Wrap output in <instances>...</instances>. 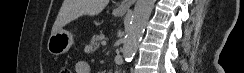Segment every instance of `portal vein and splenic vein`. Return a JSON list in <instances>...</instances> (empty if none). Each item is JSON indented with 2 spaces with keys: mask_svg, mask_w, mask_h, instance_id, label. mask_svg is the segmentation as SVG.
Here are the masks:
<instances>
[{
  "mask_svg": "<svg viewBox=\"0 0 244 73\" xmlns=\"http://www.w3.org/2000/svg\"><path fill=\"white\" fill-rule=\"evenodd\" d=\"M102 46H106V41H102Z\"/></svg>",
  "mask_w": 244,
  "mask_h": 73,
  "instance_id": "portal-vein-and-splenic-vein-1",
  "label": "portal vein and splenic vein"
}]
</instances>
